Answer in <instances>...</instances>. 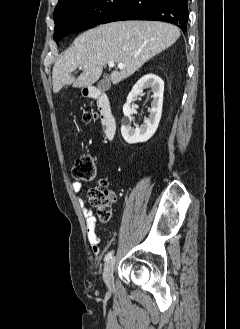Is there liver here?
Returning a JSON list of instances; mask_svg holds the SVG:
<instances>
[{"label":"liver","mask_w":240,"mask_h":329,"mask_svg":"<svg viewBox=\"0 0 240 329\" xmlns=\"http://www.w3.org/2000/svg\"><path fill=\"white\" fill-rule=\"evenodd\" d=\"M179 37L176 26L157 21H121L90 29L79 35L56 61L52 71L53 91L57 93L70 84L79 88L91 86L109 61L125 64L110 75L112 83L117 84ZM77 68L82 73L75 78L72 72Z\"/></svg>","instance_id":"6515ba94"}]
</instances>
